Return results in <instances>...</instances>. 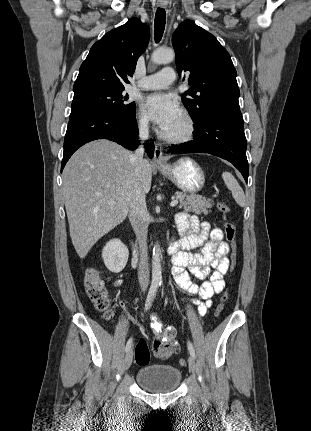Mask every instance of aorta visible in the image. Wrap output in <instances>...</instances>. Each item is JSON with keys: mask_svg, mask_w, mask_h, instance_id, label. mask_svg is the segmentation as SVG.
I'll return each instance as SVG.
<instances>
[{"mask_svg": "<svg viewBox=\"0 0 311 431\" xmlns=\"http://www.w3.org/2000/svg\"><path fill=\"white\" fill-rule=\"evenodd\" d=\"M175 58L174 50H154L151 54L153 64H170ZM161 249L159 243H155L152 251V283L162 281Z\"/></svg>", "mask_w": 311, "mask_h": 431, "instance_id": "obj_1", "label": "aorta"}]
</instances>
